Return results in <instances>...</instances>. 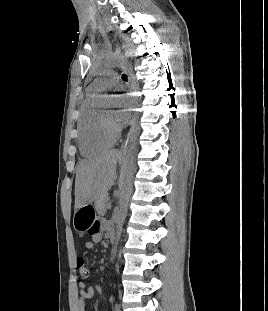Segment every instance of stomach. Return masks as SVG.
I'll return each instance as SVG.
<instances>
[{"instance_id": "0dacf381", "label": "stomach", "mask_w": 268, "mask_h": 311, "mask_svg": "<svg viewBox=\"0 0 268 311\" xmlns=\"http://www.w3.org/2000/svg\"><path fill=\"white\" fill-rule=\"evenodd\" d=\"M120 162H123V159H121ZM94 219V209L87 204L75 210L73 216V227L79 233L86 232L91 228Z\"/></svg>"}]
</instances>
